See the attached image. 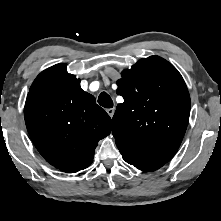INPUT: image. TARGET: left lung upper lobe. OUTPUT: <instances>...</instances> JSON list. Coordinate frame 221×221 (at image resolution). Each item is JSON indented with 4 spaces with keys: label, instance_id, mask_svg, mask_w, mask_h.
Returning a JSON list of instances; mask_svg holds the SVG:
<instances>
[{
    "label": "left lung upper lobe",
    "instance_id": "5c2ea615",
    "mask_svg": "<svg viewBox=\"0 0 221 221\" xmlns=\"http://www.w3.org/2000/svg\"><path fill=\"white\" fill-rule=\"evenodd\" d=\"M117 93L124 98L113 116V136L143 159L167 163L177 152L190 114V96L178 70L151 56L121 73Z\"/></svg>",
    "mask_w": 221,
    "mask_h": 221
}]
</instances>
